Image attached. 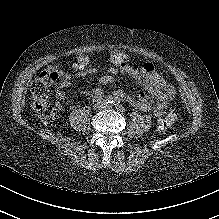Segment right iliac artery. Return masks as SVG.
Wrapping results in <instances>:
<instances>
[{
	"label": "right iliac artery",
	"mask_w": 219,
	"mask_h": 219,
	"mask_svg": "<svg viewBox=\"0 0 219 219\" xmlns=\"http://www.w3.org/2000/svg\"><path fill=\"white\" fill-rule=\"evenodd\" d=\"M115 98H113L112 96L108 95L105 97L104 102L108 103V104H114Z\"/></svg>",
	"instance_id": "82829eb1"
}]
</instances>
